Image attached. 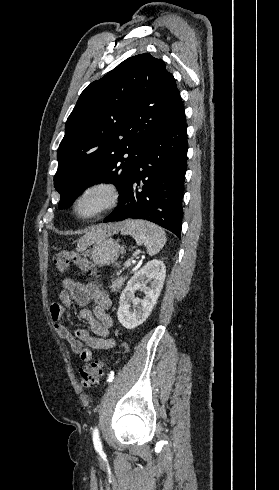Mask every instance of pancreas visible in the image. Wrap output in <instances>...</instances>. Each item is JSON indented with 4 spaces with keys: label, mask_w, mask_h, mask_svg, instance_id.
Masks as SVG:
<instances>
[{
    "label": "pancreas",
    "mask_w": 279,
    "mask_h": 490,
    "mask_svg": "<svg viewBox=\"0 0 279 490\" xmlns=\"http://www.w3.org/2000/svg\"><path fill=\"white\" fill-rule=\"evenodd\" d=\"M124 280L125 278H119V280H114V282H112V286H110V288H112L113 292H116L117 288L123 286Z\"/></svg>",
    "instance_id": "1"
}]
</instances>
